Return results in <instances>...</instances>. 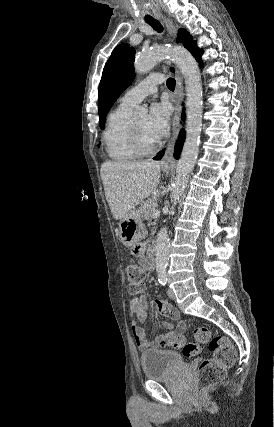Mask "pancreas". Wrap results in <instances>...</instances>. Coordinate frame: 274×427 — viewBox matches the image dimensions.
Segmentation results:
<instances>
[{"label":"pancreas","mask_w":274,"mask_h":427,"mask_svg":"<svg viewBox=\"0 0 274 427\" xmlns=\"http://www.w3.org/2000/svg\"><path fill=\"white\" fill-rule=\"evenodd\" d=\"M155 208H157V198H147L146 202H142L139 208L140 217L151 221Z\"/></svg>","instance_id":"1"}]
</instances>
